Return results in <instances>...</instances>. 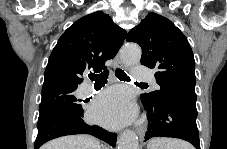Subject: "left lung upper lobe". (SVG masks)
Listing matches in <instances>:
<instances>
[{
    "mask_svg": "<svg viewBox=\"0 0 227 149\" xmlns=\"http://www.w3.org/2000/svg\"><path fill=\"white\" fill-rule=\"evenodd\" d=\"M142 48L141 64L154 68L160 90L142 94L151 102L168 99L196 104L195 60L184 34L167 18L149 13L127 35Z\"/></svg>",
    "mask_w": 227,
    "mask_h": 149,
    "instance_id": "1",
    "label": "left lung upper lobe"
}]
</instances>
